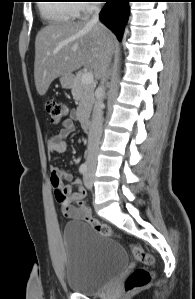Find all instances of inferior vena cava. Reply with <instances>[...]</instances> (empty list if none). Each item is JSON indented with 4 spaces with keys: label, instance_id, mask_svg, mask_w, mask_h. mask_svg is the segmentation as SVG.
<instances>
[{
    "label": "inferior vena cava",
    "instance_id": "602c4592",
    "mask_svg": "<svg viewBox=\"0 0 195 299\" xmlns=\"http://www.w3.org/2000/svg\"><path fill=\"white\" fill-rule=\"evenodd\" d=\"M91 10L94 12L93 17L88 22L89 25L99 24V12L100 9L97 6H92ZM108 76L107 68L101 79V84L97 89V97L94 104L91 126L88 133V146H87V157L86 163L89 167H95L97 164V157L99 153L100 139L103 132V99H104V83Z\"/></svg>",
    "mask_w": 195,
    "mask_h": 299
}]
</instances>
